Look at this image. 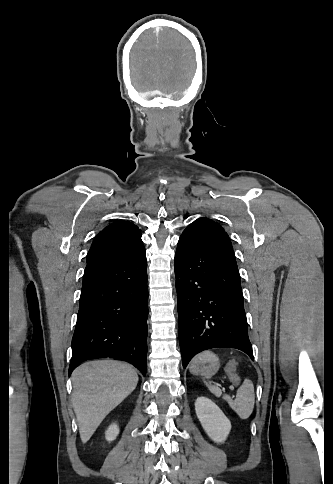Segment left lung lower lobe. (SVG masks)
<instances>
[{
	"mask_svg": "<svg viewBox=\"0 0 333 484\" xmlns=\"http://www.w3.org/2000/svg\"><path fill=\"white\" fill-rule=\"evenodd\" d=\"M175 276L183 367L211 348H236L253 360L234 251L218 223L199 218L184 230Z\"/></svg>",
	"mask_w": 333,
	"mask_h": 484,
	"instance_id": "left-lung-lower-lobe-1",
	"label": "left lung lower lobe"
}]
</instances>
